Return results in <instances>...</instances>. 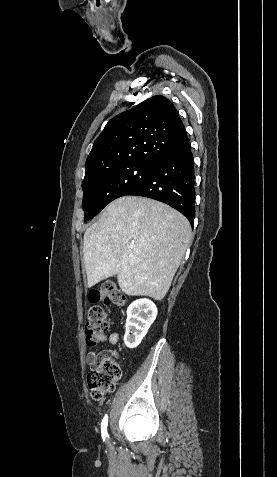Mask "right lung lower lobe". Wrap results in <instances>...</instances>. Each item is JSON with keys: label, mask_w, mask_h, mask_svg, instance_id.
<instances>
[{"label": "right lung lower lobe", "mask_w": 277, "mask_h": 477, "mask_svg": "<svg viewBox=\"0 0 277 477\" xmlns=\"http://www.w3.org/2000/svg\"><path fill=\"white\" fill-rule=\"evenodd\" d=\"M194 158L188 141L160 158L147 177L126 195L164 202L181 212L193 226L195 218Z\"/></svg>", "instance_id": "right-lung-lower-lobe-1"}]
</instances>
